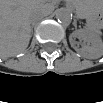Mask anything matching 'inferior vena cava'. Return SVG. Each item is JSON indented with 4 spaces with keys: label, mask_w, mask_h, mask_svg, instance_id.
Wrapping results in <instances>:
<instances>
[{
    "label": "inferior vena cava",
    "mask_w": 103,
    "mask_h": 103,
    "mask_svg": "<svg viewBox=\"0 0 103 103\" xmlns=\"http://www.w3.org/2000/svg\"><path fill=\"white\" fill-rule=\"evenodd\" d=\"M44 16L45 14L42 12L33 13L30 17V21L33 22V21L41 20Z\"/></svg>",
    "instance_id": "602c4592"
}]
</instances>
